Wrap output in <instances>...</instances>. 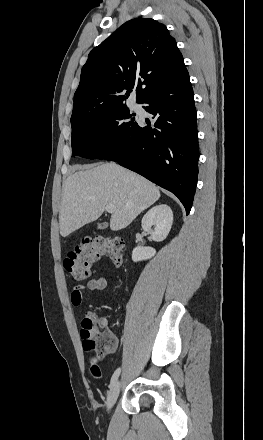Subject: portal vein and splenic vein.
I'll return each mask as SVG.
<instances>
[{"mask_svg": "<svg viewBox=\"0 0 263 440\" xmlns=\"http://www.w3.org/2000/svg\"><path fill=\"white\" fill-rule=\"evenodd\" d=\"M114 209H115V206H114L113 204H108V205L106 206V211H107L108 213H112V212L114 211Z\"/></svg>", "mask_w": 263, "mask_h": 440, "instance_id": "obj_1", "label": "portal vein and splenic vein"}]
</instances>
